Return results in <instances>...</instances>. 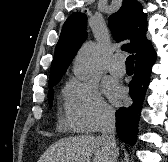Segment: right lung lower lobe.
<instances>
[{
	"instance_id": "obj_1",
	"label": "right lung lower lobe",
	"mask_w": 168,
	"mask_h": 162,
	"mask_svg": "<svg viewBox=\"0 0 168 162\" xmlns=\"http://www.w3.org/2000/svg\"><path fill=\"white\" fill-rule=\"evenodd\" d=\"M156 59L155 51L136 60L134 76L129 83V94L133 100L130 107H121L117 111L116 130L123 142L134 145L137 138L140 111L149 85L152 65Z\"/></svg>"
}]
</instances>
